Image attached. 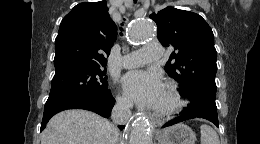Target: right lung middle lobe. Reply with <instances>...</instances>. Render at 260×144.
I'll list each match as a JSON object with an SVG mask.
<instances>
[{
	"label": "right lung middle lobe",
	"instance_id": "obj_1",
	"mask_svg": "<svg viewBox=\"0 0 260 144\" xmlns=\"http://www.w3.org/2000/svg\"><path fill=\"white\" fill-rule=\"evenodd\" d=\"M106 66L69 64L55 69L46 104L64 100H90L111 94Z\"/></svg>",
	"mask_w": 260,
	"mask_h": 144
}]
</instances>
